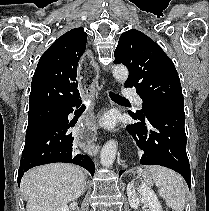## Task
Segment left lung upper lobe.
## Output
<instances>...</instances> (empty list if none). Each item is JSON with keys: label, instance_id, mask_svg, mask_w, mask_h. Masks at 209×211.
<instances>
[{"label": "left lung upper lobe", "instance_id": "obj_1", "mask_svg": "<svg viewBox=\"0 0 209 211\" xmlns=\"http://www.w3.org/2000/svg\"><path fill=\"white\" fill-rule=\"evenodd\" d=\"M114 63L129 69L126 87H135L143 100L136 114L152 107L184 108L182 88L172 60L152 39L138 30H128L119 39Z\"/></svg>", "mask_w": 209, "mask_h": 211}]
</instances>
